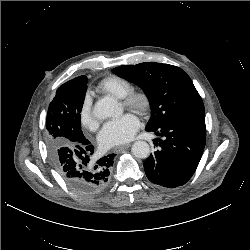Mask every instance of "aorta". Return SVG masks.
<instances>
[{"label":"aorta","instance_id":"762f6f07","mask_svg":"<svg viewBox=\"0 0 250 250\" xmlns=\"http://www.w3.org/2000/svg\"><path fill=\"white\" fill-rule=\"evenodd\" d=\"M120 114V107L116 100L105 97L96 102L93 115L98 119H106ZM132 154L139 159H145L150 155V147L145 141H136L131 148Z\"/></svg>","mask_w":250,"mask_h":250}]
</instances>
